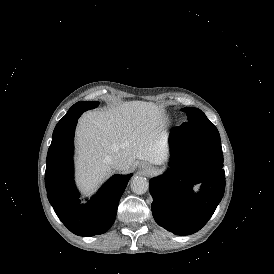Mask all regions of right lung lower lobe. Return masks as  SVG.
<instances>
[{
  "label": "right lung lower lobe",
  "mask_w": 274,
  "mask_h": 274,
  "mask_svg": "<svg viewBox=\"0 0 274 274\" xmlns=\"http://www.w3.org/2000/svg\"><path fill=\"white\" fill-rule=\"evenodd\" d=\"M81 107H71L60 120L63 128L52 136L48 149L45 185L47 196L63 224L79 236L105 233L114 223L121 195L130 175H114L88 204H81L73 181V139Z\"/></svg>",
  "instance_id": "obj_1"
}]
</instances>
